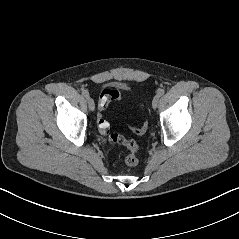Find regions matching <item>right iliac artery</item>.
<instances>
[{"instance_id":"obj_1","label":"right iliac artery","mask_w":239,"mask_h":239,"mask_svg":"<svg viewBox=\"0 0 239 239\" xmlns=\"http://www.w3.org/2000/svg\"><path fill=\"white\" fill-rule=\"evenodd\" d=\"M82 94L84 97L88 98L89 97V92L87 90H83Z\"/></svg>"}]
</instances>
